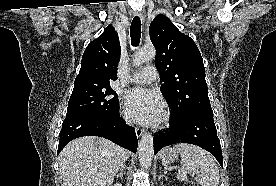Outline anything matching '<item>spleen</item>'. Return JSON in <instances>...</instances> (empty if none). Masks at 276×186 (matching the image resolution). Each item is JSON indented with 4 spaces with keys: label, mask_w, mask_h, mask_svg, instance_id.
Returning <instances> with one entry per match:
<instances>
[{
    "label": "spleen",
    "mask_w": 276,
    "mask_h": 186,
    "mask_svg": "<svg viewBox=\"0 0 276 186\" xmlns=\"http://www.w3.org/2000/svg\"><path fill=\"white\" fill-rule=\"evenodd\" d=\"M173 150L181 155L182 169L177 173L178 180L187 181V174L196 170L201 172V175L195 178L201 186H218L219 170L207 151L186 143L175 145Z\"/></svg>",
    "instance_id": "spleen-1"
}]
</instances>
